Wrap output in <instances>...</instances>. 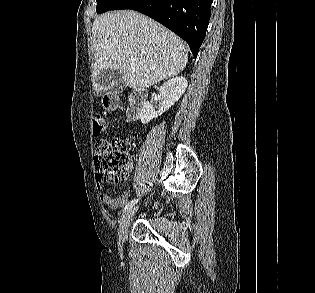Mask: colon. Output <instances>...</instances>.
Instances as JSON below:
<instances>
[{"mask_svg":"<svg viewBox=\"0 0 315 293\" xmlns=\"http://www.w3.org/2000/svg\"><path fill=\"white\" fill-rule=\"evenodd\" d=\"M106 120L100 113L92 118L93 134L98 136L105 128ZM99 182L121 185L128 177L130 158L125 141L121 137L97 142L94 157Z\"/></svg>","mask_w":315,"mask_h":293,"instance_id":"obj_1","label":"colon"}]
</instances>
